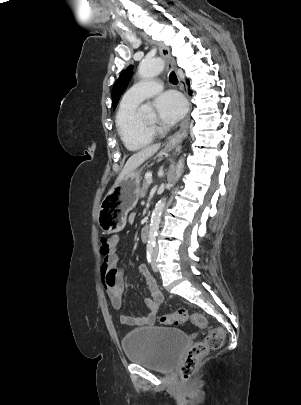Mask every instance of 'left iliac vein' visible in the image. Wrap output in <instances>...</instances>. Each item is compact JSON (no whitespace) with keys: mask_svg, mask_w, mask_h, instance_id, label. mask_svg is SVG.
Listing matches in <instances>:
<instances>
[{"mask_svg":"<svg viewBox=\"0 0 301 405\" xmlns=\"http://www.w3.org/2000/svg\"><path fill=\"white\" fill-rule=\"evenodd\" d=\"M152 269L154 272L158 271L157 265H156V252L153 253L152 255V263H151Z\"/></svg>","mask_w":301,"mask_h":405,"instance_id":"obj_1","label":"left iliac vein"}]
</instances>
